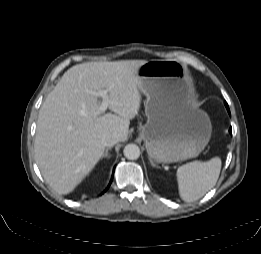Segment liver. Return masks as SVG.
<instances>
[{
  "label": "liver",
  "mask_w": 261,
  "mask_h": 254,
  "mask_svg": "<svg viewBox=\"0 0 261 254\" xmlns=\"http://www.w3.org/2000/svg\"><path fill=\"white\" fill-rule=\"evenodd\" d=\"M145 60L86 62L68 69L48 94L38 115L34 142L36 163L50 187L72 192L105 151L103 140L128 136L130 119L139 112L138 69ZM106 90L108 108L98 114L99 92Z\"/></svg>",
  "instance_id": "liver-1"
}]
</instances>
